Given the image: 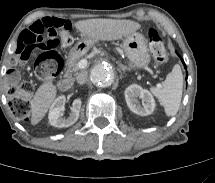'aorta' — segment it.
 <instances>
[{
    "mask_svg": "<svg viewBox=\"0 0 215 183\" xmlns=\"http://www.w3.org/2000/svg\"><path fill=\"white\" fill-rule=\"evenodd\" d=\"M90 79L96 86L106 87L113 82L114 71L108 64L99 63L92 68Z\"/></svg>",
    "mask_w": 215,
    "mask_h": 183,
    "instance_id": "1",
    "label": "aorta"
}]
</instances>
